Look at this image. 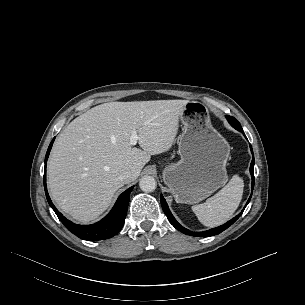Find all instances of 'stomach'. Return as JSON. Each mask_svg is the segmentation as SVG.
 Listing matches in <instances>:
<instances>
[{"instance_id":"stomach-1","label":"stomach","mask_w":305,"mask_h":305,"mask_svg":"<svg viewBox=\"0 0 305 305\" xmlns=\"http://www.w3.org/2000/svg\"><path fill=\"white\" fill-rule=\"evenodd\" d=\"M179 119L181 159L163 170V181L178 203H198L226 181L230 146L210 121L206 106L188 101Z\"/></svg>"}]
</instances>
